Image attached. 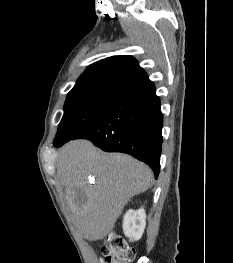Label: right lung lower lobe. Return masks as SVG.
Listing matches in <instances>:
<instances>
[{"instance_id": "obj_1", "label": "right lung lower lobe", "mask_w": 233, "mask_h": 263, "mask_svg": "<svg viewBox=\"0 0 233 263\" xmlns=\"http://www.w3.org/2000/svg\"><path fill=\"white\" fill-rule=\"evenodd\" d=\"M163 115L155 85L147 81L119 94L107 111L71 139H89L104 151L123 152L160 172ZM54 140L56 147L71 140Z\"/></svg>"}]
</instances>
